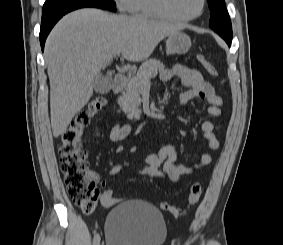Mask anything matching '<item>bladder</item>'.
Returning a JSON list of instances; mask_svg holds the SVG:
<instances>
[{
    "label": "bladder",
    "instance_id": "31cf9c89",
    "mask_svg": "<svg viewBox=\"0 0 283 245\" xmlns=\"http://www.w3.org/2000/svg\"><path fill=\"white\" fill-rule=\"evenodd\" d=\"M107 245H164L167 227L161 211L143 200L113 207L105 223Z\"/></svg>",
    "mask_w": 283,
    "mask_h": 245
}]
</instances>
